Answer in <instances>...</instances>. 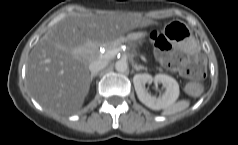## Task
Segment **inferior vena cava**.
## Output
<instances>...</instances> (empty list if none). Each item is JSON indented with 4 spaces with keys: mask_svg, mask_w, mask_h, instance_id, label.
Instances as JSON below:
<instances>
[{
    "mask_svg": "<svg viewBox=\"0 0 238 145\" xmlns=\"http://www.w3.org/2000/svg\"><path fill=\"white\" fill-rule=\"evenodd\" d=\"M107 66V61L105 60H94L89 64V70L92 74H97L99 71Z\"/></svg>",
    "mask_w": 238,
    "mask_h": 145,
    "instance_id": "obj_1",
    "label": "inferior vena cava"
}]
</instances>
